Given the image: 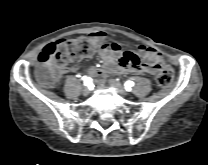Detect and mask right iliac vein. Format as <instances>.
I'll list each match as a JSON object with an SVG mask.
<instances>
[{
	"label": "right iliac vein",
	"instance_id": "1",
	"mask_svg": "<svg viewBox=\"0 0 208 165\" xmlns=\"http://www.w3.org/2000/svg\"><path fill=\"white\" fill-rule=\"evenodd\" d=\"M90 94V89L89 88H84L83 89V95H85V96H87V95H89Z\"/></svg>",
	"mask_w": 208,
	"mask_h": 165
}]
</instances>
